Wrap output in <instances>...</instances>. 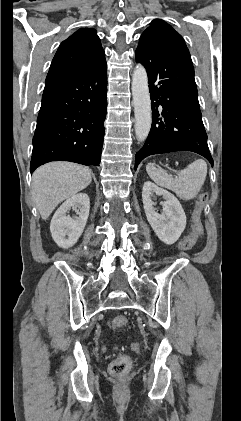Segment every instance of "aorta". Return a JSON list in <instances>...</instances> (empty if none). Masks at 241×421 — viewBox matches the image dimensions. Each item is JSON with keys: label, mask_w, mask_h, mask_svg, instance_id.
<instances>
[{"label": "aorta", "mask_w": 241, "mask_h": 421, "mask_svg": "<svg viewBox=\"0 0 241 421\" xmlns=\"http://www.w3.org/2000/svg\"><path fill=\"white\" fill-rule=\"evenodd\" d=\"M132 96L135 115V134L138 142L146 140L152 122L148 77L142 65L136 66L132 74Z\"/></svg>", "instance_id": "762f6f07"}]
</instances>
